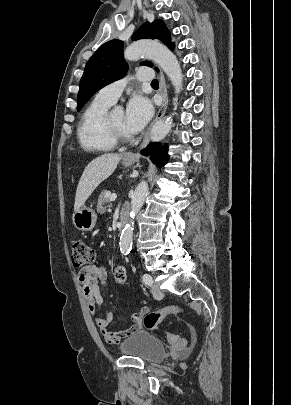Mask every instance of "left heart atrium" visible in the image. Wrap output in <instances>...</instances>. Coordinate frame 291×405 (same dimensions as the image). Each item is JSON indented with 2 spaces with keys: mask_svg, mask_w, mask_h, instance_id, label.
Wrapping results in <instances>:
<instances>
[{
  "mask_svg": "<svg viewBox=\"0 0 291 405\" xmlns=\"http://www.w3.org/2000/svg\"><path fill=\"white\" fill-rule=\"evenodd\" d=\"M153 114L150 101L142 96L133 97L126 107L125 125L131 134L139 133L149 122Z\"/></svg>",
  "mask_w": 291,
  "mask_h": 405,
  "instance_id": "39dd6f15",
  "label": "left heart atrium"
}]
</instances>
